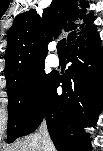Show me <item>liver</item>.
<instances>
[{
    "instance_id": "6515ba94",
    "label": "liver",
    "mask_w": 103,
    "mask_h": 151,
    "mask_svg": "<svg viewBox=\"0 0 103 151\" xmlns=\"http://www.w3.org/2000/svg\"><path fill=\"white\" fill-rule=\"evenodd\" d=\"M6 151H43L42 137L40 133L27 136L25 139L9 147ZM47 151H55L52 144H49Z\"/></svg>"
}]
</instances>
